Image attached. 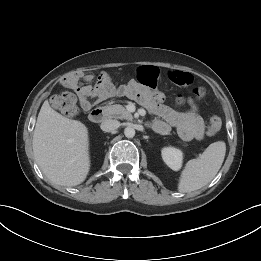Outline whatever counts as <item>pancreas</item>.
<instances>
[{
    "label": "pancreas",
    "instance_id": "1",
    "mask_svg": "<svg viewBox=\"0 0 261 261\" xmlns=\"http://www.w3.org/2000/svg\"><path fill=\"white\" fill-rule=\"evenodd\" d=\"M109 116L117 119L132 120V114L126 110L125 107L119 104L107 106Z\"/></svg>",
    "mask_w": 261,
    "mask_h": 261
}]
</instances>
